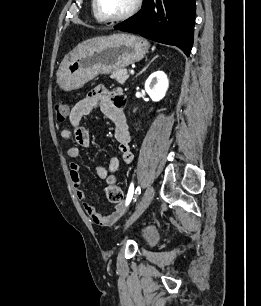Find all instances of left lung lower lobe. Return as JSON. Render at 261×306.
<instances>
[{
    "instance_id": "left-lung-lower-lobe-1",
    "label": "left lung lower lobe",
    "mask_w": 261,
    "mask_h": 306,
    "mask_svg": "<svg viewBox=\"0 0 261 306\" xmlns=\"http://www.w3.org/2000/svg\"><path fill=\"white\" fill-rule=\"evenodd\" d=\"M195 11V0H143L139 13L114 28L175 45L188 56L193 45Z\"/></svg>"
}]
</instances>
